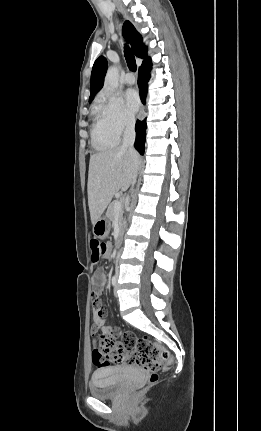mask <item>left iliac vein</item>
Instances as JSON below:
<instances>
[{"instance_id": "1", "label": "left iliac vein", "mask_w": 261, "mask_h": 431, "mask_svg": "<svg viewBox=\"0 0 261 431\" xmlns=\"http://www.w3.org/2000/svg\"><path fill=\"white\" fill-rule=\"evenodd\" d=\"M117 288H118V286H117V284L115 285V288H114V294H115V296L117 295Z\"/></svg>"}]
</instances>
